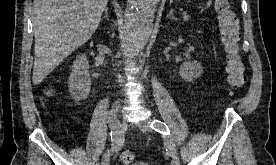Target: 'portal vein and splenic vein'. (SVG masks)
Here are the masks:
<instances>
[{
	"label": "portal vein and splenic vein",
	"mask_w": 276,
	"mask_h": 165,
	"mask_svg": "<svg viewBox=\"0 0 276 165\" xmlns=\"http://www.w3.org/2000/svg\"><path fill=\"white\" fill-rule=\"evenodd\" d=\"M189 17H190V16H189L187 13H185V12L183 13V19H184V20H188Z\"/></svg>",
	"instance_id": "1"
}]
</instances>
